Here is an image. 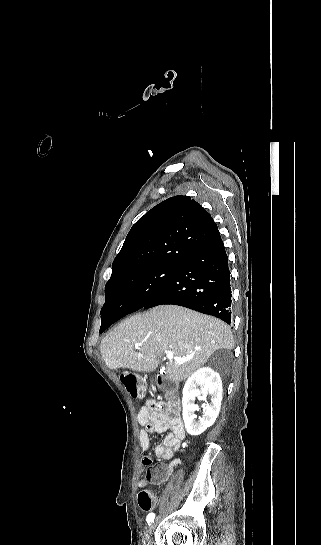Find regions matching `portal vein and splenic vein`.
Instances as JSON below:
<instances>
[{
	"mask_svg": "<svg viewBox=\"0 0 321 545\" xmlns=\"http://www.w3.org/2000/svg\"><path fill=\"white\" fill-rule=\"evenodd\" d=\"M143 343H135L134 347L135 349H139V347H142ZM167 359L169 361H175V363H185V361H192V359H185V357H175L173 355V351H165Z\"/></svg>",
	"mask_w": 321,
	"mask_h": 545,
	"instance_id": "portal-vein-and-splenic-vein-1",
	"label": "portal vein and splenic vein"
}]
</instances>
